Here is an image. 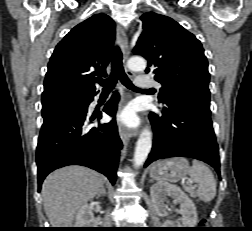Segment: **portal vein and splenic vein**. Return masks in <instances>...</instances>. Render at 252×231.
Instances as JSON below:
<instances>
[{
    "instance_id": "portal-vein-and-splenic-vein-1",
    "label": "portal vein and splenic vein",
    "mask_w": 252,
    "mask_h": 231,
    "mask_svg": "<svg viewBox=\"0 0 252 231\" xmlns=\"http://www.w3.org/2000/svg\"><path fill=\"white\" fill-rule=\"evenodd\" d=\"M196 187V185H194V186H191V188H195Z\"/></svg>"
}]
</instances>
